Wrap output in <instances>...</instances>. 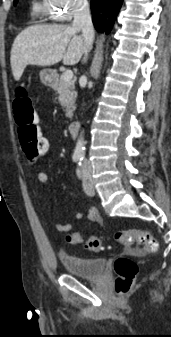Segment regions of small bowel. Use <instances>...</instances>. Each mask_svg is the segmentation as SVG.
I'll return each instance as SVG.
<instances>
[{
	"label": "small bowel",
	"instance_id": "small-bowel-1",
	"mask_svg": "<svg viewBox=\"0 0 171 337\" xmlns=\"http://www.w3.org/2000/svg\"><path fill=\"white\" fill-rule=\"evenodd\" d=\"M37 178H38V181L43 185L47 184L49 180L48 174L45 171L38 172ZM75 218L77 220L86 218L96 223L102 222V218L100 217L98 211L95 208H90L86 210L85 212H78L75 214ZM72 227L73 226L71 223H56L55 224V228L58 232H69L72 230Z\"/></svg>",
	"mask_w": 171,
	"mask_h": 337
}]
</instances>
